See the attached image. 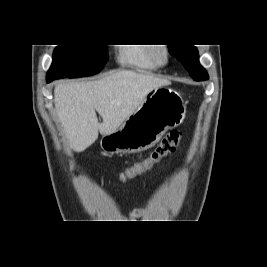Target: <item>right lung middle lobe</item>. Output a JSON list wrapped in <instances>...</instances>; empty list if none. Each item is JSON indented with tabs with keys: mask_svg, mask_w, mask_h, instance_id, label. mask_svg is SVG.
Instances as JSON below:
<instances>
[{
	"mask_svg": "<svg viewBox=\"0 0 267 267\" xmlns=\"http://www.w3.org/2000/svg\"><path fill=\"white\" fill-rule=\"evenodd\" d=\"M107 61L106 45H59L46 78H78L99 73Z\"/></svg>",
	"mask_w": 267,
	"mask_h": 267,
	"instance_id": "obj_1",
	"label": "right lung middle lobe"
}]
</instances>
